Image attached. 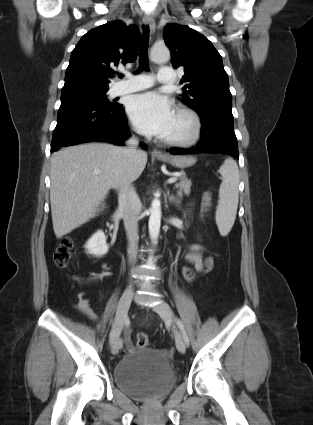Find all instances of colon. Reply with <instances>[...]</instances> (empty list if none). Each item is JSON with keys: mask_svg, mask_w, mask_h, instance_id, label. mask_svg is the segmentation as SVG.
Wrapping results in <instances>:
<instances>
[{"mask_svg": "<svg viewBox=\"0 0 313 425\" xmlns=\"http://www.w3.org/2000/svg\"><path fill=\"white\" fill-rule=\"evenodd\" d=\"M75 242L72 238L66 237L54 251L53 259L60 268H65L69 264L74 252ZM214 266L213 257H208L204 261L203 273L197 272L193 267H184L181 271V279L184 283L192 282L197 276L209 272ZM136 345L140 348L149 346V338L145 333H139L136 337Z\"/></svg>", "mask_w": 313, "mask_h": 425, "instance_id": "1", "label": "colon"}]
</instances>
